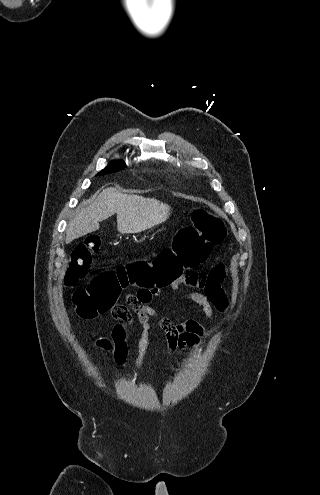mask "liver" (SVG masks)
Returning a JSON list of instances; mask_svg holds the SVG:
<instances>
[{"label":"liver","mask_w":320,"mask_h":495,"mask_svg":"<svg viewBox=\"0 0 320 495\" xmlns=\"http://www.w3.org/2000/svg\"><path fill=\"white\" fill-rule=\"evenodd\" d=\"M117 214V230L134 234L165 221L171 214L170 206L155 198L126 195L112 187L104 189L92 203L80 205L68 222L66 243L95 232L100 222Z\"/></svg>","instance_id":"obj_1"}]
</instances>
